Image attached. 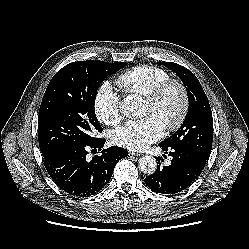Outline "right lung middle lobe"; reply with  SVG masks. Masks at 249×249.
Segmentation results:
<instances>
[{"label":"right lung middle lobe","mask_w":249,"mask_h":249,"mask_svg":"<svg viewBox=\"0 0 249 249\" xmlns=\"http://www.w3.org/2000/svg\"><path fill=\"white\" fill-rule=\"evenodd\" d=\"M126 66L125 62L77 61L51 79L38 115V141L43 157L86 145L102 132L94 104L104 79Z\"/></svg>","instance_id":"1"}]
</instances>
